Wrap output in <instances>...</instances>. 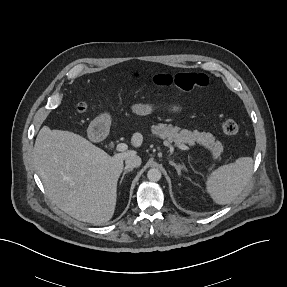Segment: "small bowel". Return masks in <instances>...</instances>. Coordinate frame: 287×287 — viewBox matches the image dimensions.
Wrapping results in <instances>:
<instances>
[{"mask_svg": "<svg viewBox=\"0 0 287 287\" xmlns=\"http://www.w3.org/2000/svg\"><path fill=\"white\" fill-rule=\"evenodd\" d=\"M151 110V106L146 103H137L133 106V112L137 115L147 114Z\"/></svg>", "mask_w": 287, "mask_h": 287, "instance_id": "c3829d8e", "label": "small bowel"}]
</instances>
